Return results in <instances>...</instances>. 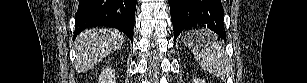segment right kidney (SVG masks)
Listing matches in <instances>:
<instances>
[{
	"instance_id": "right-kidney-1",
	"label": "right kidney",
	"mask_w": 307,
	"mask_h": 83,
	"mask_svg": "<svg viewBox=\"0 0 307 83\" xmlns=\"http://www.w3.org/2000/svg\"><path fill=\"white\" fill-rule=\"evenodd\" d=\"M99 83H115V73L111 67L103 69L99 76Z\"/></svg>"
}]
</instances>
